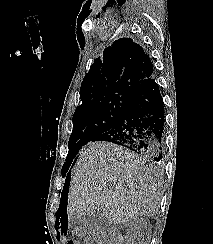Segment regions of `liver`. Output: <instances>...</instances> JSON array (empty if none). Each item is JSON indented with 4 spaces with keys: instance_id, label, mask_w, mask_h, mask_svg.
<instances>
[{
    "instance_id": "obj_1",
    "label": "liver",
    "mask_w": 213,
    "mask_h": 244,
    "mask_svg": "<svg viewBox=\"0 0 213 244\" xmlns=\"http://www.w3.org/2000/svg\"><path fill=\"white\" fill-rule=\"evenodd\" d=\"M161 195L159 176L145 159L121 146L96 142L80 154L74 168L67 215L74 221L101 209L110 224L129 223L139 215H156Z\"/></svg>"
}]
</instances>
